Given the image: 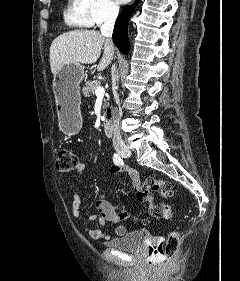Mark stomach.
I'll list each match as a JSON object with an SVG mask.
<instances>
[{
	"instance_id": "1",
	"label": "stomach",
	"mask_w": 240,
	"mask_h": 281,
	"mask_svg": "<svg viewBox=\"0 0 240 281\" xmlns=\"http://www.w3.org/2000/svg\"><path fill=\"white\" fill-rule=\"evenodd\" d=\"M84 78L81 64L64 65L53 78V90L61 130L77 134L82 127L80 83Z\"/></svg>"
}]
</instances>
